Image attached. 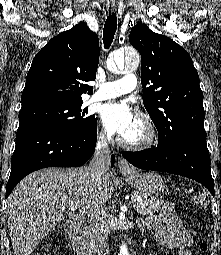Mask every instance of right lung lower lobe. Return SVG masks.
Returning a JSON list of instances; mask_svg holds the SVG:
<instances>
[{
  "mask_svg": "<svg viewBox=\"0 0 221 255\" xmlns=\"http://www.w3.org/2000/svg\"><path fill=\"white\" fill-rule=\"evenodd\" d=\"M97 125L82 132H71L39 122H20L6 198L18 182L29 173L46 167H79L93 155ZM115 157L111 156V165Z\"/></svg>",
  "mask_w": 221,
  "mask_h": 255,
  "instance_id": "obj_1",
  "label": "right lung lower lobe"
}]
</instances>
